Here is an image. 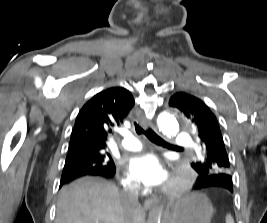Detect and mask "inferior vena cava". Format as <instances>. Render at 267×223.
<instances>
[{
	"instance_id": "1",
	"label": "inferior vena cava",
	"mask_w": 267,
	"mask_h": 223,
	"mask_svg": "<svg viewBox=\"0 0 267 223\" xmlns=\"http://www.w3.org/2000/svg\"><path fill=\"white\" fill-rule=\"evenodd\" d=\"M140 186L137 183L125 187L122 192V199L125 208V223H132L131 212L138 205Z\"/></svg>"
}]
</instances>
